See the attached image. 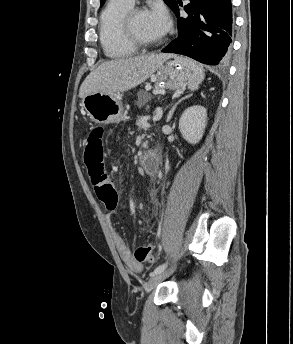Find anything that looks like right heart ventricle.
Masks as SVG:
<instances>
[{
	"label": "right heart ventricle",
	"instance_id": "1",
	"mask_svg": "<svg viewBox=\"0 0 293 344\" xmlns=\"http://www.w3.org/2000/svg\"><path fill=\"white\" fill-rule=\"evenodd\" d=\"M133 6L121 0H109L99 17V40L105 55L112 59L127 58L137 53V48L122 35L121 20Z\"/></svg>",
	"mask_w": 293,
	"mask_h": 344
}]
</instances>
